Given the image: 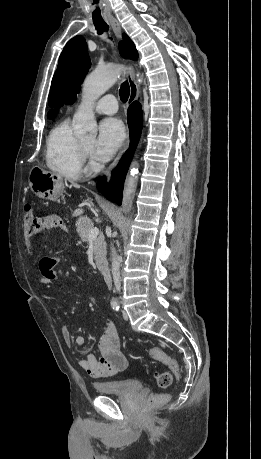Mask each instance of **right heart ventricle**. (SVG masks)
I'll return each instance as SVG.
<instances>
[{
	"instance_id": "e07e8e85",
	"label": "right heart ventricle",
	"mask_w": 261,
	"mask_h": 459,
	"mask_svg": "<svg viewBox=\"0 0 261 459\" xmlns=\"http://www.w3.org/2000/svg\"><path fill=\"white\" fill-rule=\"evenodd\" d=\"M46 164L50 170L67 179L82 174L83 155L69 120H63L50 131L45 146Z\"/></svg>"
}]
</instances>
